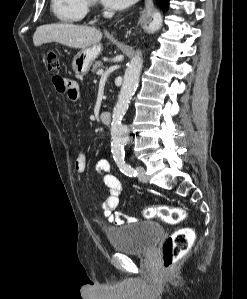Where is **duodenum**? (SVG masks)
Wrapping results in <instances>:
<instances>
[{
    "mask_svg": "<svg viewBox=\"0 0 247 299\" xmlns=\"http://www.w3.org/2000/svg\"><path fill=\"white\" fill-rule=\"evenodd\" d=\"M100 119L104 124L110 125L112 121V115L110 112L104 111L100 114Z\"/></svg>",
    "mask_w": 247,
    "mask_h": 299,
    "instance_id": "duodenum-1",
    "label": "duodenum"
}]
</instances>
